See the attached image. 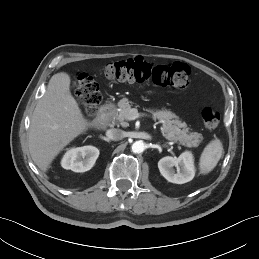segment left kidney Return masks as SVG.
Masks as SVG:
<instances>
[{"label": "left kidney", "mask_w": 259, "mask_h": 259, "mask_svg": "<svg viewBox=\"0 0 259 259\" xmlns=\"http://www.w3.org/2000/svg\"><path fill=\"white\" fill-rule=\"evenodd\" d=\"M158 168L161 175L171 183L184 184L195 176L194 159L189 151L183 152L179 157H163L158 162Z\"/></svg>", "instance_id": "1"}]
</instances>
